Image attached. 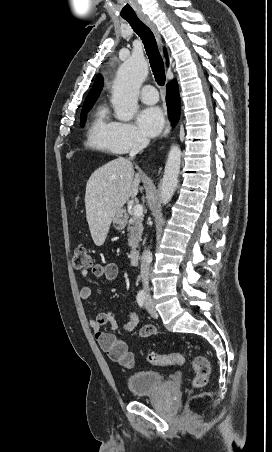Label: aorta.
<instances>
[{
	"label": "aorta",
	"mask_w": 272,
	"mask_h": 452,
	"mask_svg": "<svg viewBox=\"0 0 272 452\" xmlns=\"http://www.w3.org/2000/svg\"><path fill=\"white\" fill-rule=\"evenodd\" d=\"M148 74V65L142 55L130 56L118 69L113 83L112 105L118 120L129 121L138 109V92ZM181 165V150L172 145L168 153L161 185V203L166 205L177 188Z\"/></svg>",
	"instance_id": "762f6f07"
}]
</instances>
